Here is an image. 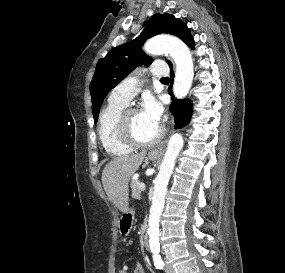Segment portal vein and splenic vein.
<instances>
[{
  "instance_id": "18ae733b",
  "label": "portal vein and splenic vein",
  "mask_w": 285,
  "mask_h": 273,
  "mask_svg": "<svg viewBox=\"0 0 285 273\" xmlns=\"http://www.w3.org/2000/svg\"><path fill=\"white\" fill-rule=\"evenodd\" d=\"M139 188H140V190H144L145 189V184L141 183Z\"/></svg>"
}]
</instances>
